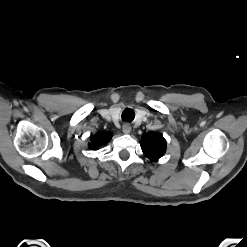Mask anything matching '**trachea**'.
Returning a JSON list of instances; mask_svg holds the SVG:
<instances>
[{
  "instance_id": "obj_1",
  "label": "trachea",
  "mask_w": 247,
  "mask_h": 247,
  "mask_svg": "<svg viewBox=\"0 0 247 247\" xmlns=\"http://www.w3.org/2000/svg\"><path fill=\"white\" fill-rule=\"evenodd\" d=\"M135 117L133 109L126 108L122 113V119L127 122H131Z\"/></svg>"
}]
</instances>
